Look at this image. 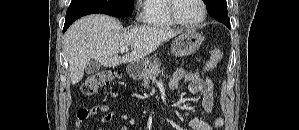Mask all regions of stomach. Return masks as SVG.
<instances>
[{
	"instance_id": "stomach-1",
	"label": "stomach",
	"mask_w": 299,
	"mask_h": 130,
	"mask_svg": "<svg viewBox=\"0 0 299 130\" xmlns=\"http://www.w3.org/2000/svg\"><path fill=\"white\" fill-rule=\"evenodd\" d=\"M204 37L194 29H188L177 37L171 46V52L174 56L182 57L194 54L202 45ZM150 60L143 58L128 65V71L131 73H141L149 66Z\"/></svg>"
}]
</instances>
